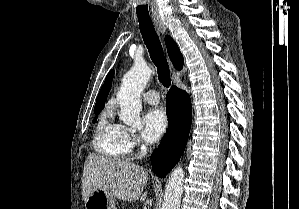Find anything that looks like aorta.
<instances>
[{
	"label": "aorta",
	"mask_w": 299,
	"mask_h": 209,
	"mask_svg": "<svg viewBox=\"0 0 299 209\" xmlns=\"http://www.w3.org/2000/svg\"><path fill=\"white\" fill-rule=\"evenodd\" d=\"M153 71L145 63H135L123 77L117 100L120 103L119 118L135 129L142 128L140 96ZM184 170L175 168L167 182L161 209H179L183 192Z\"/></svg>",
	"instance_id": "aorta-1"
}]
</instances>
